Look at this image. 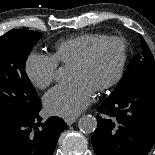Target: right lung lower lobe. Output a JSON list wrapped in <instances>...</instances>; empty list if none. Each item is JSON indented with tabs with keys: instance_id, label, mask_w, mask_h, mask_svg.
Segmentation results:
<instances>
[{
	"instance_id": "right-lung-lower-lobe-1",
	"label": "right lung lower lobe",
	"mask_w": 155,
	"mask_h": 155,
	"mask_svg": "<svg viewBox=\"0 0 155 155\" xmlns=\"http://www.w3.org/2000/svg\"><path fill=\"white\" fill-rule=\"evenodd\" d=\"M38 113L24 119H0V155H53L67 125L59 117H50L39 129Z\"/></svg>"
}]
</instances>
